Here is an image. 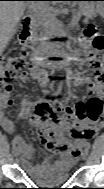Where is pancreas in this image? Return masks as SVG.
Segmentation results:
<instances>
[{
  "mask_svg": "<svg viewBox=\"0 0 104 189\" xmlns=\"http://www.w3.org/2000/svg\"><path fill=\"white\" fill-rule=\"evenodd\" d=\"M82 13L84 16L89 19L93 16L94 11L89 8L85 7L82 10ZM77 18V17H75ZM63 29H62V23L55 20V19H44L42 23V32L40 35L36 38V42L40 45H43L46 43L47 39H50L53 35L54 36H61L63 35Z\"/></svg>",
  "mask_w": 104,
  "mask_h": 189,
  "instance_id": "cf45deb5",
  "label": "pancreas"
}]
</instances>
